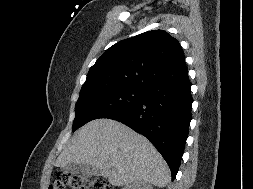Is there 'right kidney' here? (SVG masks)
<instances>
[{
  "instance_id": "obj_1",
  "label": "right kidney",
  "mask_w": 253,
  "mask_h": 189,
  "mask_svg": "<svg viewBox=\"0 0 253 189\" xmlns=\"http://www.w3.org/2000/svg\"><path fill=\"white\" fill-rule=\"evenodd\" d=\"M122 189H153V187L144 181H134L131 184L126 185Z\"/></svg>"
}]
</instances>
